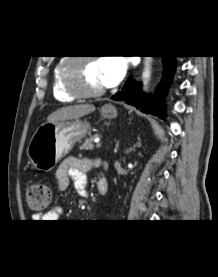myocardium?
Instances as JSON below:
<instances>
[{"instance_id": "obj_1", "label": "myocardium", "mask_w": 218, "mask_h": 277, "mask_svg": "<svg viewBox=\"0 0 218 277\" xmlns=\"http://www.w3.org/2000/svg\"><path fill=\"white\" fill-rule=\"evenodd\" d=\"M94 60V57H74L62 61L59 67L62 88L66 93L75 98H93L105 93V88L96 90H85L81 85L80 69L88 61Z\"/></svg>"}]
</instances>
